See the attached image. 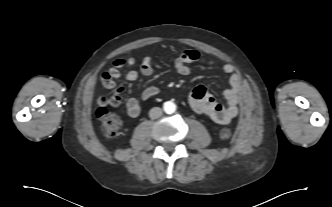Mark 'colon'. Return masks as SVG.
I'll return each mask as SVG.
<instances>
[{
    "label": "colon",
    "instance_id": "colon-1",
    "mask_svg": "<svg viewBox=\"0 0 332 207\" xmlns=\"http://www.w3.org/2000/svg\"><path fill=\"white\" fill-rule=\"evenodd\" d=\"M120 103L121 97L116 93L109 98L106 96H100L98 98L97 116L102 123L105 136L109 139H114L119 135L122 121L117 114L109 111L108 105L117 107ZM231 134V130L228 128H223L220 131V136L223 139L230 138Z\"/></svg>",
    "mask_w": 332,
    "mask_h": 207
}]
</instances>
